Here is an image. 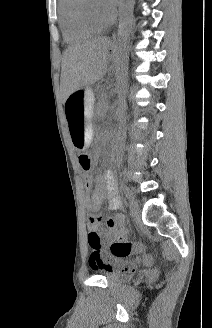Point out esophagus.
<instances>
[{
  "label": "esophagus",
  "mask_w": 212,
  "mask_h": 328,
  "mask_svg": "<svg viewBox=\"0 0 212 328\" xmlns=\"http://www.w3.org/2000/svg\"><path fill=\"white\" fill-rule=\"evenodd\" d=\"M111 41L115 42L116 41V31H114L111 35Z\"/></svg>",
  "instance_id": "1"
}]
</instances>
